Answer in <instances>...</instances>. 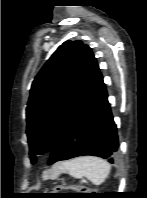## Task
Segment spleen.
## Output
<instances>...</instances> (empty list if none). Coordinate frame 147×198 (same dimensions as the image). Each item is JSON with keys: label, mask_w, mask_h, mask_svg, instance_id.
<instances>
[{"label": "spleen", "mask_w": 147, "mask_h": 198, "mask_svg": "<svg viewBox=\"0 0 147 198\" xmlns=\"http://www.w3.org/2000/svg\"><path fill=\"white\" fill-rule=\"evenodd\" d=\"M64 171L75 179L86 177L94 185H100L108 177L110 165L99 157L83 156L66 162Z\"/></svg>", "instance_id": "1"}]
</instances>
